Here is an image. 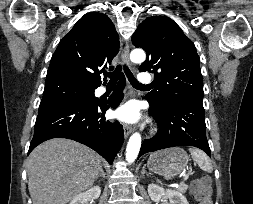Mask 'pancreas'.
Returning a JSON list of instances; mask_svg holds the SVG:
<instances>
[{
    "instance_id": "cf45deb5",
    "label": "pancreas",
    "mask_w": 253,
    "mask_h": 204,
    "mask_svg": "<svg viewBox=\"0 0 253 204\" xmlns=\"http://www.w3.org/2000/svg\"><path fill=\"white\" fill-rule=\"evenodd\" d=\"M188 186L186 184H181L179 187H178V191L181 192V193H185L186 190H187Z\"/></svg>"
}]
</instances>
